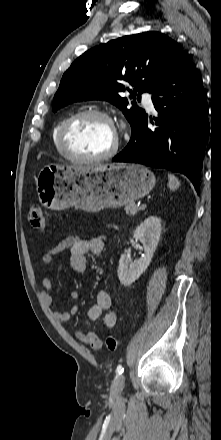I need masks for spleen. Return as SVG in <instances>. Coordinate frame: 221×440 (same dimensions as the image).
<instances>
[{"label":"spleen","instance_id":"1","mask_svg":"<svg viewBox=\"0 0 221 440\" xmlns=\"http://www.w3.org/2000/svg\"><path fill=\"white\" fill-rule=\"evenodd\" d=\"M168 186L171 191H175L180 186V181L173 174H168Z\"/></svg>","mask_w":221,"mask_h":440}]
</instances>
